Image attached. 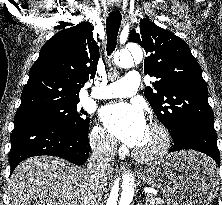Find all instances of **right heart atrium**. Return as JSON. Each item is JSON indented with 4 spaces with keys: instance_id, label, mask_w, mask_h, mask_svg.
Instances as JSON below:
<instances>
[{
    "instance_id": "1",
    "label": "right heart atrium",
    "mask_w": 222,
    "mask_h": 205,
    "mask_svg": "<svg viewBox=\"0 0 222 205\" xmlns=\"http://www.w3.org/2000/svg\"><path fill=\"white\" fill-rule=\"evenodd\" d=\"M90 145L94 151L104 157H110L115 151L113 137L101 126L94 125L89 135Z\"/></svg>"
}]
</instances>
